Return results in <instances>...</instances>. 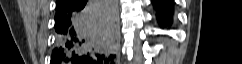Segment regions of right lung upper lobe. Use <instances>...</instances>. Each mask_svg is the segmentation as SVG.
<instances>
[{
	"label": "right lung upper lobe",
	"mask_w": 242,
	"mask_h": 64,
	"mask_svg": "<svg viewBox=\"0 0 242 64\" xmlns=\"http://www.w3.org/2000/svg\"><path fill=\"white\" fill-rule=\"evenodd\" d=\"M69 1L70 0H57L56 1V9H60L62 6H64Z\"/></svg>",
	"instance_id": "right-lung-upper-lobe-1"
}]
</instances>
